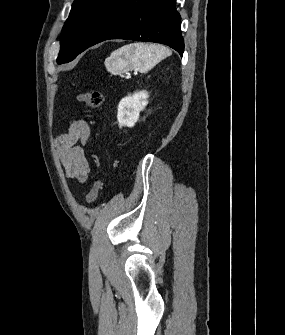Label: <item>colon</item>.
<instances>
[{
	"label": "colon",
	"instance_id": "obj_1",
	"mask_svg": "<svg viewBox=\"0 0 285 335\" xmlns=\"http://www.w3.org/2000/svg\"><path fill=\"white\" fill-rule=\"evenodd\" d=\"M77 100L84 103L90 109H98L104 102V95L100 92H80L77 95ZM103 188L102 182L95 178L93 180L91 189L87 194V204L92 205L97 200L101 190Z\"/></svg>",
	"mask_w": 285,
	"mask_h": 335
}]
</instances>
